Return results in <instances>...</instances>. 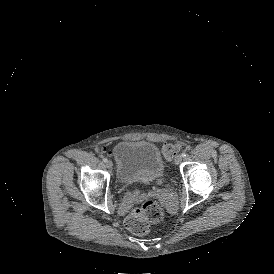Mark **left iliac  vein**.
Listing matches in <instances>:
<instances>
[{"mask_svg": "<svg viewBox=\"0 0 274 274\" xmlns=\"http://www.w3.org/2000/svg\"><path fill=\"white\" fill-rule=\"evenodd\" d=\"M181 162H182V156L181 155H177L175 157V164L179 165V164H181Z\"/></svg>", "mask_w": 274, "mask_h": 274, "instance_id": "1", "label": "left iliac vein"}]
</instances>
